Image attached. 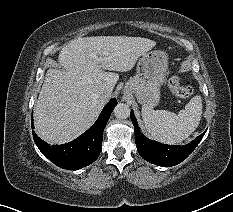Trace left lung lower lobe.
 <instances>
[{"instance_id": "obj_1", "label": "left lung lower lobe", "mask_w": 233, "mask_h": 212, "mask_svg": "<svg viewBox=\"0 0 233 212\" xmlns=\"http://www.w3.org/2000/svg\"><path fill=\"white\" fill-rule=\"evenodd\" d=\"M130 118L135 129L137 150L146 161L164 167L174 166L186 159L203 138L204 133L189 144L183 146L165 145L146 138L140 131L133 111Z\"/></svg>"}]
</instances>
